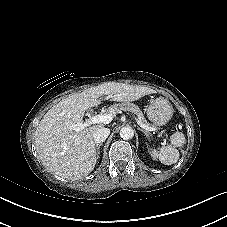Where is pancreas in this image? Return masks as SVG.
Segmentation results:
<instances>
[{
    "label": "pancreas",
    "instance_id": "1",
    "mask_svg": "<svg viewBox=\"0 0 227 227\" xmlns=\"http://www.w3.org/2000/svg\"><path fill=\"white\" fill-rule=\"evenodd\" d=\"M113 110L117 113L121 112V111L131 112V113L135 114L142 123L153 126L147 122V120L145 119L144 114L140 110V108L138 106L134 105L133 103L122 102V103L114 104Z\"/></svg>",
    "mask_w": 227,
    "mask_h": 227
}]
</instances>
